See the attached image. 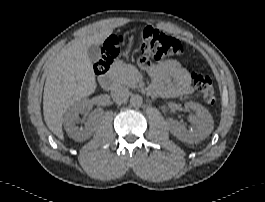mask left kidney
<instances>
[{"label":"left kidney","mask_w":265,"mask_h":202,"mask_svg":"<svg viewBox=\"0 0 265 202\" xmlns=\"http://www.w3.org/2000/svg\"><path fill=\"white\" fill-rule=\"evenodd\" d=\"M186 109H191L195 115L189 117V121L195 127L187 130L185 125L176 121L168 120V126L171 133L180 141L188 144H196L205 139L213 130V118L209 111L196 102H186L184 104Z\"/></svg>","instance_id":"5707ae66"}]
</instances>
